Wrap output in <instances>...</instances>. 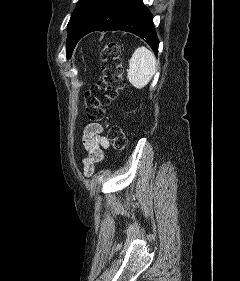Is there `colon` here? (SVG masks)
Masks as SVG:
<instances>
[{
  "label": "colon",
  "mask_w": 240,
  "mask_h": 281,
  "mask_svg": "<svg viewBox=\"0 0 240 281\" xmlns=\"http://www.w3.org/2000/svg\"><path fill=\"white\" fill-rule=\"evenodd\" d=\"M124 85L119 46L114 41H107L101 54V77L85 93L84 105L90 121L105 123L113 146L118 152L125 149L127 138L119 126L107 122L105 107L116 99Z\"/></svg>",
  "instance_id": "1"
}]
</instances>
